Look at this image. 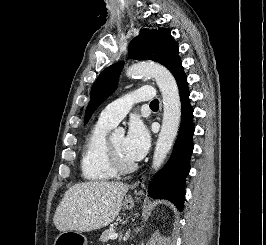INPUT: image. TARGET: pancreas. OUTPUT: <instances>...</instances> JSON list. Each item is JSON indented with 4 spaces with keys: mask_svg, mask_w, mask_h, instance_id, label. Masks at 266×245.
Listing matches in <instances>:
<instances>
[{
    "mask_svg": "<svg viewBox=\"0 0 266 245\" xmlns=\"http://www.w3.org/2000/svg\"><path fill=\"white\" fill-rule=\"evenodd\" d=\"M112 233H115L114 229H107V231L102 233L99 241H101V243H107V241H110L109 237L112 235Z\"/></svg>",
    "mask_w": 266,
    "mask_h": 245,
    "instance_id": "1",
    "label": "pancreas"
}]
</instances>
